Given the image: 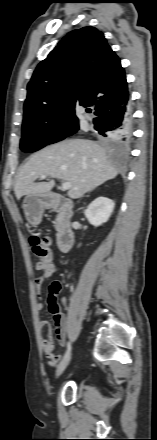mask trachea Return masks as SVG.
<instances>
[{
    "label": "trachea",
    "mask_w": 157,
    "mask_h": 440,
    "mask_svg": "<svg viewBox=\"0 0 157 440\" xmlns=\"http://www.w3.org/2000/svg\"><path fill=\"white\" fill-rule=\"evenodd\" d=\"M87 111H88V112H90V111H91V109H87Z\"/></svg>",
    "instance_id": "trachea-1"
}]
</instances>
